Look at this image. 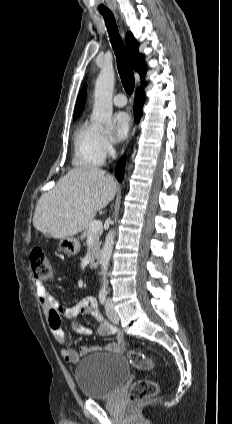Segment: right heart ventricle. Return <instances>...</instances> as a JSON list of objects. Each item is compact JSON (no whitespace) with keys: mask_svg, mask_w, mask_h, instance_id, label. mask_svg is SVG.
<instances>
[{"mask_svg":"<svg viewBox=\"0 0 232 424\" xmlns=\"http://www.w3.org/2000/svg\"><path fill=\"white\" fill-rule=\"evenodd\" d=\"M102 131L88 120L77 127L73 141V165L79 168L101 166L105 161Z\"/></svg>","mask_w":232,"mask_h":424,"instance_id":"obj_1","label":"right heart ventricle"}]
</instances>
